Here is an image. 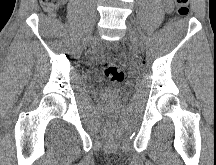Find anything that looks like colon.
Segmentation results:
<instances>
[{
  "label": "colon",
  "instance_id": "colon-1",
  "mask_svg": "<svg viewBox=\"0 0 216 165\" xmlns=\"http://www.w3.org/2000/svg\"><path fill=\"white\" fill-rule=\"evenodd\" d=\"M43 9L48 13L56 12L63 0H40ZM176 13L179 17L183 18L189 13V0H175ZM102 71L104 76L113 83H120L124 80L123 69L109 61L102 64Z\"/></svg>",
  "mask_w": 216,
  "mask_h": 165
}]
</instances>
